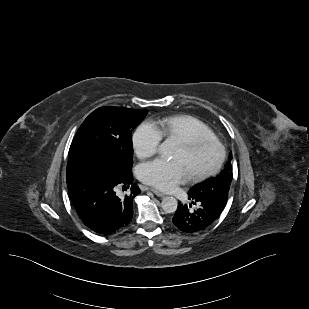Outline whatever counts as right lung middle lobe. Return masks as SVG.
Listing matches in <instances>:
<instances>
[{
    "instance_id": "1",
    "label": "right lung middle lobe",
    "mask_w": 309,
    "mask_h": 309,
    "mask_svg": "<svg viewBox=\"0 0 309 309\" xmlns=\"http://www.w3.org/2000/svg\"><path fill=\"white\" fill-rule=\"evenodd\" d=\"M147 112L110 106L96 109L77 131L69 149L68 163H90L121 178L133 165L131 131Z\"/></svg>"
}]
</instances>
